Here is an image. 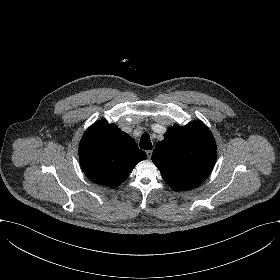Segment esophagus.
Wrapping results in <instances>:
<instances>
[{"label": "esophagus", "mask_w": 280, "mask_h": 280, "mask_svg": "<svg viewBox=\"0 0 280 280\" xmlns=\"http://www.w3.org/2000/svg\"><path fill=\"white\" fill-rule=\"evenodd\" d=\"M146 153H147V157L150 159L152 156V150H147Z\"/></svg>", "instance_id": "obj_1"}]
</instances>
